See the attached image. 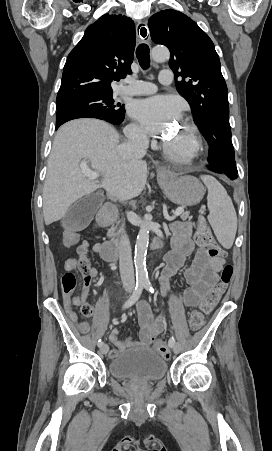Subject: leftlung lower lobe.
<instances>
[{"mask_svg": "<svg viewBox=\"0 0 272 451\" xmlns=\"http://www.w3.org/2000/svg\"><path fill=\"white\" fill-rule=\"evenodd\" d=\"M209 169H210L211 171L216 172V173L225 175V176H227L228 178H230L231 180H234V179L237 178V176H231V175H228V174L224 173L223 171H221L220 169H218L217 167H215V166H213V165H209Z\"/></svg>", "mask_w": 272, "mask_h": 451, "instance_id": "left-lung-lower-lobe-1", "label": "left lung lower lobe"}]
</instances>
